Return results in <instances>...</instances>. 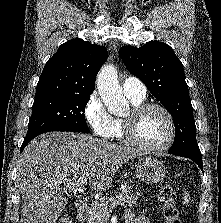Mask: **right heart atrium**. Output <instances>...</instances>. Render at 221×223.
Listing matches in <instances>:
<instances>
[{
  "label": "right heart atrium",
  "instance_id": "d8ad5b80",
  "mask_svg": "<svg viewBox=\"0 0 221 223\" xmlns=\"http://www.w3.org/2000/svg\"><path fill=\"white\" fill-rule=\"evenodd\" d=\"M84 118L95 136L110 139L114 135V119L108 113L97 92H93L84 106Z\"/></svg>",
  "mask_w": 221,
  "mask_h": 223
}]
</instances>
